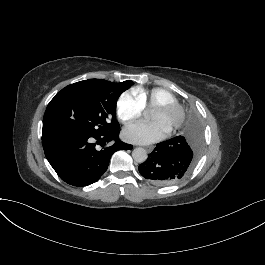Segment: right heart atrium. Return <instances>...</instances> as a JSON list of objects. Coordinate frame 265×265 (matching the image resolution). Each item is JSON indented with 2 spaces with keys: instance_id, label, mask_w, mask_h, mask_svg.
<instances>
[{
  "instance_id": "right-heart-atrium-1",
  "label": "right heart atrium",
  "mask_w": 265,
  "mask_h": 265,
  "mask_svg": "<svg viewBox=\"0 0 265 265\" xmlns=\"http://www.w3.org/2000/svg\"><path fill=\"white\" fill-rule=\"evenodd\" d=\"M144 109L141 99L132 91L124 93L117 104L119 119L126 124L139 119Z\"/></svg>"
}]
</instances>
